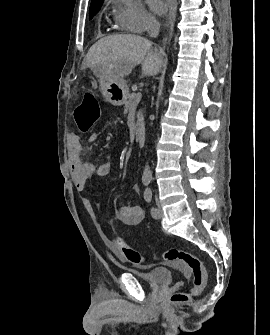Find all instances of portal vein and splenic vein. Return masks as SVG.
Segmentation results:
<instances>
[{
	"instance_id": "18ae733b",
	"label": "portal vein and splenic vein",
	"mask_w": 270,
	"mask_h": 335,
	"mask_svg": "<svg viewBox=\"0 0 270 335\" xmlns=\"http://www.w3.org/2000/svg\"><path fill=\"white\" fill-rule=\"evenodd\" d=\"M142 97H143V92H142V91H137V92H136L135 99H136L137 101H140V100L142 99Z\"/></svg>"
}]
</instances>
